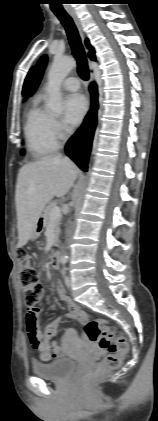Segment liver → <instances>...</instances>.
<instances>
[{
	"mask_svg": "<svg viewBox=\"0 0 158 421\" xmlns=\"http://www.w3.org/2000/svg\"><path fill=\"white\" fill-rule=\"evenodd\" d=\"M77 174V166L60 155L22 166L15 193L18 247L24 246L30 239L45 205L54 196L60 198L67 194Z\"/></svg>",
	"mask_w": 158,
	"mask_h": 421,
	"instance_id": "6515ba94",
	"label": "liver"
}]
</instances>
